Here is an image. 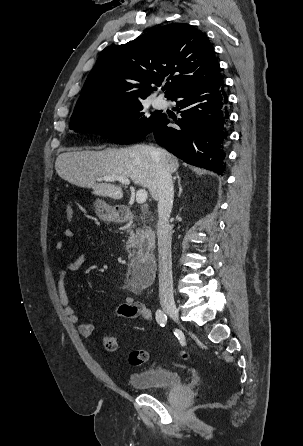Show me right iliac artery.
<instances>
[{
  "instance_id": "obj_1",
  "label": "right iliac artery",
  "mask_w": 303,
  "mask_h": 446,
  "mask_svg": "<svg viewBox=\"0 0 303 446\" xmlns=\"http://www.w3.org/2000/svg\"><path fill=\"white\" fill-rule=\"evenodd\" d=\"M155 317L160 326H165L167 322V316L162 310L158 309L155 313Z\"/></svg>"
}]
</instances>
